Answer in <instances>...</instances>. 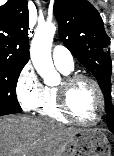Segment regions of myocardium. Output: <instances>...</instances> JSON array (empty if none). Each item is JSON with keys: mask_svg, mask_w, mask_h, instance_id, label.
<instances>
[{"mask_svg": "<svg viewBox=\"0 0 114 156\" xmlns=\"http://www.w3.org/2000/svg\"><path fill=\"white\" fill-rule=\"evenodd\" d=\"M82 80H86L90 82L95 88L97 96H98V101H99L98 114L91 121H83L77 118L73 114L69 105V95H70L72 88L74 87L75 84H77L79 81H82ZM58 104H59V109L62 112V114L71 122L76 123L81 126H93L97 124L102 118L104 108H105V99H104L101 86L94 77L87 75V74L76 73V74L67 75L62 81V83L59 85Z\"/></svg>", "mask_w": 114, "mask_h": 156, "instance_id": "obj_1", "label": "myocardium"}]
</instances>
